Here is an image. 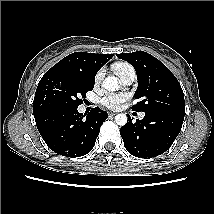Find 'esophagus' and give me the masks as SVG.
<instances>
[{
	"instance_id": "esophagus-1",
	"label": "esophagus",
	"mask_w": 214,
	"mask_h": 214,
	"mask_svg": "<svg viewBox=\"0 0 214 214\" xmlns=\"http://www.w3.org/2000/svg\"><path fill=\"white\" fill-rule=\"evenodd\" d=\"M110 116H115L116 115V113H114V112H109L108 113Z\"/></svg>"
}]
</instances>
